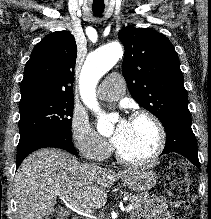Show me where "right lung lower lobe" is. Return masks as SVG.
I'll return each mask as SVG.
<instances>
[{
    "instance_id": "obj_1",
    "label": "right lung lower lobe",
    "mask_w": 211,
    "mask_h": 219,
    "mask_svg": "<svg viewBox=\"0 0 211 219\" xmlns=\"http://www.w3.org/2000/svg\"><path fill=\"white\" fill-rule=\"evenodd\" d=\"M45 147L60 148L70 152L71 154H78L72 143V139H68L54 133H38L23 140H19L16 169L27 155L37 149Z\"/></svg>"
}]
</instances>
